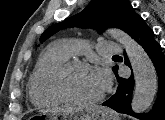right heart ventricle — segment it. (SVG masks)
Wrapping results in <instances>:
<instances>
[{"instance_id": "1", "label": "right heart ventricle", "mask_w": 165, "mask_h": 120, "mask_svg": "<svg viewBox=\"0 0 165 120\" xmlns=\"http://www.w3.org/2000/svg\"><path fill=\"white\" fill-rule=\"evenodd\" d=\"M68 60V56L57 48H51L40 58L29 79V95L36 106L58 105L63 100L53 89V77L57 69Z\"/></svg>"}]
</instances>
